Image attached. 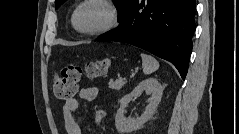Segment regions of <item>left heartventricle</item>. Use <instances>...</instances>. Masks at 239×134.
I'll return each instance as SVG.
<instances>
[{
    "mask_svg": "<svg viewBox=\"0 0 239 134\" xmlns=\"http://www.w3.org/2000/svg\"><path fill=\"white\" fill-rule=\"evenodd\" d=\"M108 19L106 9L97 4L84 6L78 13L76 22L82 30H95L103 26Z\"/></svg>",
    "mask_w": 239,
    "mask_h": 134,
    "instance_id": "1",
    "label": "left heart ventricle"
}]
</instances>
